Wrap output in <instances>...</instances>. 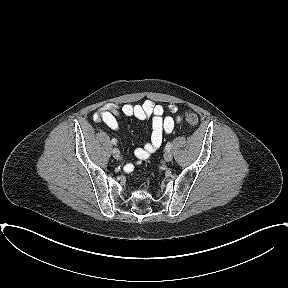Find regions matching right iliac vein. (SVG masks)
Returning <instances> with one entry per match:
<instances>
[{"label": "right iliac vein", "mask_w": 288, "mask_h": 288, "mask_svg": "<svg viewBox=\"0 0 288 288\" xmlns=\"http://www.w3.org/2000/svg\"><path fill=\"white\" fill-rule=\"evenodd\" d=\"M112 154H113V157H114L115 159H119V158H120V151H119V149L114 148V149L112 150Z\"/></svg>", "instance_id": "right-iliac-vein-1"}]
</instances>
